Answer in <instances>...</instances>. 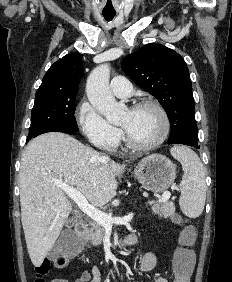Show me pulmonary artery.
I'll return each mask as SVG.
<instances>
[{
    "label": "pulmonary artery",
    "mask_w": 232,
    "mask_h": 282,
    "mask_svg": "<svg viewBox=\"0 0 232 282\" xmlns=\"http://www.w3.org/2000/svg\"><path fill=\"white\" fill-rule=\"evenodd\" d=\"M112 93L118 98H126L131 95L132 85L129 80L123 76H116L110 83Z\"/></svg>",
    "instance_id": "1"
}]
</instances>
